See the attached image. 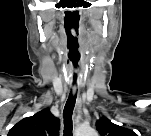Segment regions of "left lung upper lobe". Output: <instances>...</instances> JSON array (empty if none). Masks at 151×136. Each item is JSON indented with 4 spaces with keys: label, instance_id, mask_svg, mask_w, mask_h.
Here are the masks:
<instances>
[{
    "label": "left lung upper lobe",
    "instance_id": "obj_1",
    "mask_svg": "<svg viewBox=\"0 0 151 136\" xmlns=\"http://www.w3.org/2000/svg\"><path fill=\"white\" fill-rule=\"evenodd\" d=\"M96 128L101 136H132L133 131L112 123L103 117L97 120Z\"/></svg>",
    "mask_w": 151,
    "mask_h": 136
}]
</instances>
